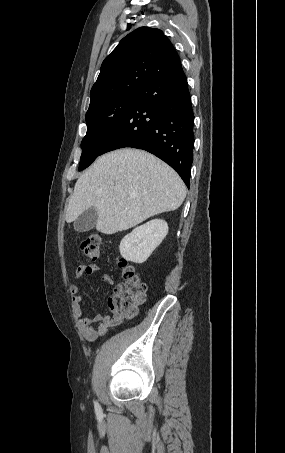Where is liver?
<instances>
[{
    "mask_svg": "<svg viewBox=\"0 0 285 453\" xmlns=\"http://www.w3.org/2000/svg\"><path fill=\"white\" fill-rule=\"evenodd\" d=\"M185 196V184L170 166L143 150L124 148L100 156L78 178L65 220L71 223L95 207L96 229L110 235L178 209Z\"/></svg>",
    "mask_w": 285,
    "mask_h": 453,
    "instance_id": "6515ba94",
    "label": "liver"
}]
</instances>
